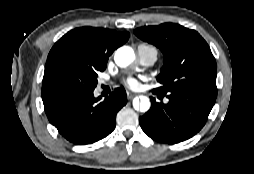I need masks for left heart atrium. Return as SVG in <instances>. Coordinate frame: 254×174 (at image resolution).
Wrapping results in <instances>:
<instances>
[{
  "label": "left heart atrium",
  "instance_id": "39dd6f15",
  "mask_svg": "<svg viewBox=\"0 0 254 174\" xmlns=\"http://www.w3.org/2000/svg\"><path fill=\"white\" fill-rule=\"evenodd\" d=\"M124 85L132 90H137L140 88V80L135 77H127L124 80Z\"/></svg>",
  "mask_w": 254,
  "mask_h": 174
}]
</instances>
